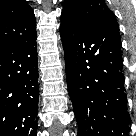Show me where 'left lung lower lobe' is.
Returning <instances> with one entry per match:
<instances>
[{"instance_id":"left-lung-lower-lobe-1","label":"left lung lower lobe","mask_w":136,"mask_h":136,"mask_svg":"<svg viewBox=\"0 0 136 136\" xmlns=\"http://www.w3.org/2000/svg\"><path fill=\"white\" fill-rule=\"evenodd\" d=\"M60 35L78 136H128L130 119L118 31L61 23Z\"/></svg>"}]
</instances>
